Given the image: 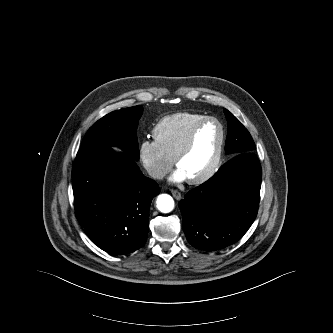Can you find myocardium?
Instances as JSON below:
<instances>
[{
  "instance_id": "1",
  "label": "myocardium",
  "mask_w": 333,
  "mask_h": 333,
  "mask_svg": "<svg viewBox=\"0 0 333 333\" xmlns=\"http://www.w3.org/2000/svg\"><path fill=\"white\" fill-rule=\"evenodd\" d=\"M209 123H215L218 125L219 129H220V141H219V145H218V150L216 153V156L212 162V164L210 165V167L201 175H199L196 178L193 179H189L187 180L189 184L191 185H199L202 184L204 182H206L207 180H209L219 169L221 161H222V157H223V152H224V147H225V142H226V131H225V127L222 124V122L220 120H218L215 117H206L205 119H203L202 121H200L199 123H197L192 130L190 131V133L188 134L187 138L185 139L184 143L182 144V146L179 148V150L176 152L174 158H173V162L174 165L176 167H178V163L179 161L191 150V148L193 147L195 138L198 134V132L207 124Z\"/></svg>"
}]
</instances>
